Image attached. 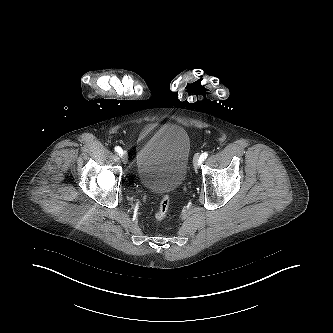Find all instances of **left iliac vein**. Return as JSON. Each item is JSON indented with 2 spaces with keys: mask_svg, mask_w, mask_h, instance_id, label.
<instances>
[{
  "mask_svg": "<svg viewBox=\"0 0 333 333\" xmlns=\"http://www.w3.org/2000/svg\"><path fill=\"white\" fill-rule=\"evenodd\" d=\"M193 163H194V167H195V168H198V167H199L200 162H199V157H198V155H196V156L194 157Z\"/></svg>",
  "mask_w": 333,
  "mask_h": 333,
  "instance_id": "left-iliac-vein-1",
  "label": "left iliac vein"
}]
</instances>
